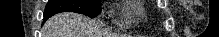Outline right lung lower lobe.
Masks as SVG:
<instances>
[{
	"mask_svg": "<svg viewBox=\"0 0 219 37\" xmlns=\"http://www.w3.org/2000/svg\"><path fill=\"white\" fill-rule=\"evenodd\" d=\"M50 16H52V15H44V21Z\"/></svg>",
	"mask_w": 219,
	"mask_h": 37,
	"instance_id": "98d812e1",
	"label": "right lung lower lobe"
}]
</instances>
